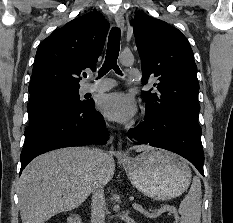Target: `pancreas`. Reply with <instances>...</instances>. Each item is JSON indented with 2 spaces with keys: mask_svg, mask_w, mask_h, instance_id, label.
Returning <instances> with one entry per match:
<instances>
[{
  "mask_svg": "<svg viewBox=\"0 0 233 223\" xmlns=\"http://www.w3.org/2000/svg\"><path fill=\"white\" fill-rule=\"evenodd\" d=\"M158 213H163V211H169V213H177L176 207H172V205H165V207H160V209H157Z\"/></svg>",
  "mask_w": 233,
  "mask_h": 223,
  "instance_id": "1",
  "label": "pancreas"
}]
</instances>
